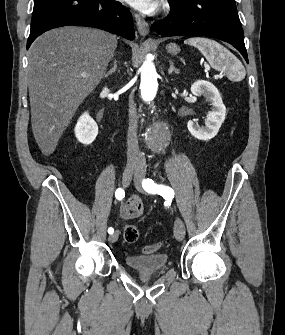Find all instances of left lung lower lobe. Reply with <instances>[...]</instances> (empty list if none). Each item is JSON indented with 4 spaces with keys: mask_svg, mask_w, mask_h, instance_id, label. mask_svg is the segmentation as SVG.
I'll use <instances>...</instances> for the list:
<instances>
[{
    "mask_svg": "<svg viewBox=\"0 0 285 335\" xmlns=\"http://www.w3.org/2000/svg\"><path fill=\"white\" fill-rule=\"evenodd\" d=\"M171 14L153 24L164 36L202 35L233 45L248 62L235 0H169Z\"/></svg>",
    "mask_w": 285,
    "mask_h": 335,
    "instance_id": "1",
    "label": "left lung lower lobe"
}]
</instances>
